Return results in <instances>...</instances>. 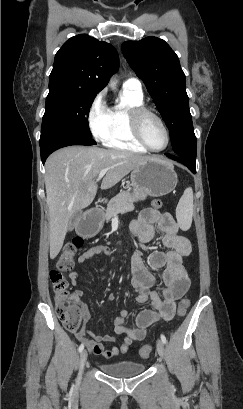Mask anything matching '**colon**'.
I'll return each instance as SVG.
<instances>
[{
    "label": "colon",
    "mask_w": 243,
    "mask_h": 409,
    "mask_svg": "<svg viewBox=\"0 0 243 409\" xmlns=\"http://www.w3.org/2000/svg\"><path fill=\"white\" fill-rule=\"evenodd\" d=\"M162 201L154 200L152 207L155 210L162 208ZM84 244L81 237H75L70 244H67L61 251L58 257L57 268L50 272V280L54 293V301L57 317L61 321L63 327L71 333L79 329L82 321V313L76 300L72 299L68 292V282L63 276V272H67L74 267L75 253ZM190 306V300L183 298L178 306L177 315L182 318ZM151 353L149 346H144L140 349V355L143 358H148Z\"/></svg>",
    "instance_id": "5ec220e1"
}]
</instances>
